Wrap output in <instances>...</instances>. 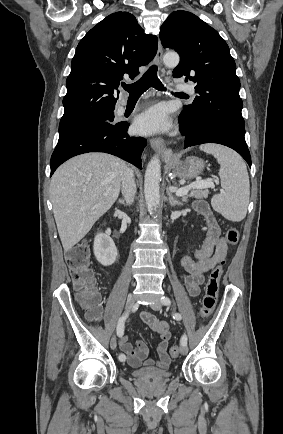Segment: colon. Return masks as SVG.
Masks as SVG:
<instances>
[{
    "label": "colon",
    "mask_w": 283,
    "mask_h": 434,
    "mask_svg": "<svg viewBox=\"0 0 283 434\" xmlns=\"http://www.w3.org/2000/svg\"><path fill=\"white\" fill-rule=\"evenodd\" d=\"M226 242L235 245L239 240V231L232 227L225 235ZM66 262L70 270L75 289L78 291V300L87 311L90 319L96 320L100 316L99 294L95 286L94 273L90 266V254L86 243H79L66 253ZM223 262L216 266L210 273L205 285V294L202 300L201 315L208 318L214 311L219 294V283L223 272ZM180 349L178 346L170 348V355L177 357Z\"/></svg>",
    "instance_id": "1"
}]
</instances>
